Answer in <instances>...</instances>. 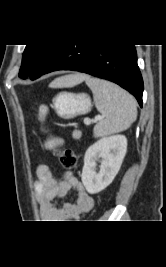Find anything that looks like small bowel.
<instances>
[{
    "label": "small bowel",
    "mask_w": 166,
    "mask_h": 267,
    "mask_svg": "<svg viewBox=\"0 0 166 267\" xmlns=\"http://www.w3.org/2000/svg\"><path fill=\"white\" fill-rule=\"evenodd\" d=\"M34 189L40 205V216L47 222H61L83 216L94 205L92 197L72 172L66 171L60 180H56L52 168L46 164L37 168ZM71 190L75 191V201L58 207L56 200L65 197Z\"/></svg>",
    "instance_id": "1"
}]
</instances>
